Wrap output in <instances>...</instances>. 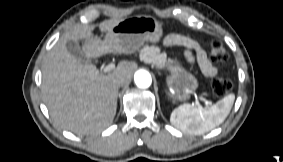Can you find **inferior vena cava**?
<instances>
[{
	"mask_svg": "<svg viewBox=\"0 0 283 162\" xmlns=\"http://www.w3.org/2000/svg\"><path fill=\"white\" fill-rule=\"evenodd\" d=\"M114 83L117 87L124 85L125 79L123 77H118L114 80Z\"/></svg>",
	"mask_w": 283,
	"mask_h": 162,
	"instance_id": "602c4592",
	"label": "inferior vena cava"
}]
</instances>
